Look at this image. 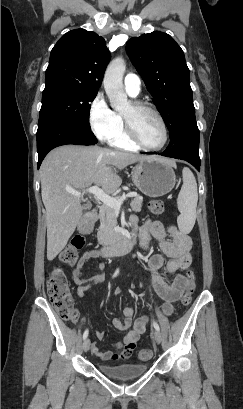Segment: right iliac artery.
<instances>
[{
  "mask_svg": "<svg viewBox=\"0 0 243 409\" xmlns=\"http://www.w3.org/2000/svg\"><path fill=\"white\" fill-rule=\"evenodd\" d=\"M118 272H119V268H117V270H116L115 273L113 274V277H116L117 274H118ZM88 334H89V331H88V329H86L85 332H84V334H83V339H84V340L87 338Z\"/></svg>",
  "mask_w": 243,
  "mask_h": 409,
  "instance_id": "82829eb1",
  "label": "right iliac artery"
}]
</instances>
